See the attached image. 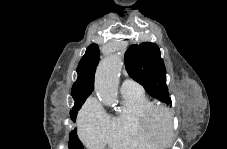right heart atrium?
<instances>
[{"label": "right heart atrium", "instance_id": "obj_1", "mask_svg": "<svg viewBox=\"0 0 227 149\" xmlns=\"http://www.w3.org/2000/svg\"><path fill=\"white\" fill-rule=\"evenodd\" d=\"M109 117L95 98H89L81 109L78 126L80 137L90 148H99L107 142Z\"/></svg>", "mask_w": 227, "mask_h": 149}]
</instances>
